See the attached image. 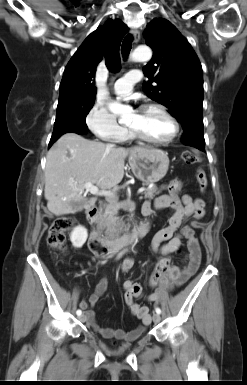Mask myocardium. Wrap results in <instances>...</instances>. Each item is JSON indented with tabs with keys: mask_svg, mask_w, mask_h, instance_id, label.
<instances>
[{
	"mask_svg": "<svg viewBox=\"0 0 247 385\" xmlns=\"http://www.w3.org/2000/svg\"><path fill=\"white\" fill-rule=\"evenodd\" d=\"M149 110H157V111L161 112L169 120V122L171 123L172 128H173L171 135L166 139L155 140V139L147 138L144 135H142L141 133H139L136 129L129 127L128 129H129L131 136L134 137L135 139H138L142 142H145V143H148L151 145H158V146L159 145H167V144L173 142L177 138L179 131H180V126H179V123L176 120V118L164 106H162L160 104H145V105L141 106L139 109V111H149Z\"/></svg>",
	"mask_w": 247,
	"mask_h": 385,
	"instance_id": "obj_1",
	"label": "myocardium"
}]
</instances>
